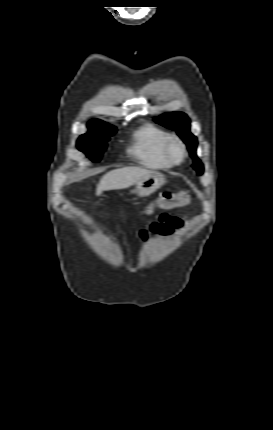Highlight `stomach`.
<instances>
[{
    "label": "stomach",
    "mask_w": 273,
    "mask_h": 430,
    "mask_svg": "<svg viewBox=\"0 0 273 430\" xmlns=\"http://www.w3.org/2000/svg\"><path fill=\"white\" fill-rule=\"evenodd\" d=\"M165 182L164 175L159 172H152L136 183V193L140 197H146L158 190Z\"/></svg>",
    "instance_id": "stomach-1"
}]
</instances>
